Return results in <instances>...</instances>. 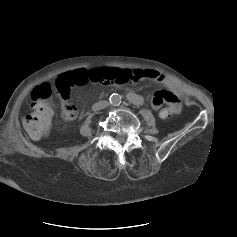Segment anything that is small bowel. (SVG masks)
<instances>
[{
    "label": "small bowel",
    "mask_w": 237,
    "mask_h": 237,
    "mask_svg": "<svg viewBox=\"0 0 237 237\" xmlns=\"http://www.w3.org/2000/svg\"><path fill=\"white\" fill-rule=\"evenodd\" d=\"M120 71L123 72L126 76H128L129 80L137 81L142 79H149L156 83H160L165 87V89L155 92L154 96L152 97L151 106L154 110H159L163 104H167L169 107L175 110V114L180 112L181 98L179 96L175 84L171 80L154 70L121 69ZM103 83L107 85L117 84L115 82ZM128 98L131 102L136 104L141 102V97L133 92L128 94ZM64 104L65 101L62 100L63 118L65 120H72L76 115L68 116L64 111Z\"/></svg>",
    "instance_id": "1"
}]
</instances>
